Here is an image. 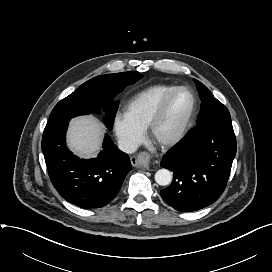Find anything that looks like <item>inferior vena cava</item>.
<instances>
[{
  "mask_svg": "<svg viewBox=\"0 0 272 272\" xmlns=\"http://www.w3.org/2000/svg\"><path fill=\"white\" fill-rule=\"evenodd\" d=\"M118 147L121 151L127 153V154H131L134 153L137 148H138V144L136 142L133 141H128V140H120L118 142Z\"/></svg>",
  "mask_w": 272,
  "mask_h": 272,
  "instance_id": "obj_1",
  "label": "inferior vena cava"
}]
</instances>
